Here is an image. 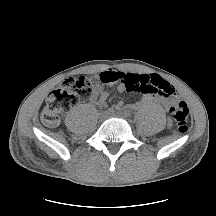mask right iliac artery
Instances as JSON below:
<instances>
[{"label": "right iliac artery", "mask_w": 216, "mask_h": 216, "mask_svg": "<svg viewBox=\"0 0 216 216\" xmlns=\"http://www.w3.org/2000/svg\"><path fill=\"white\" fill-rule=\"evenodd\" d=\"M114 111H115L114 108H109V109L107 110V112H108V113H111V114H113Z\"/></svg>", "instance_id": "right-iliac-artery-1"}]
</instances>
